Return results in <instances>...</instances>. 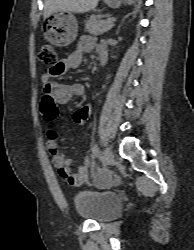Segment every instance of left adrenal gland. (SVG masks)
Returning a JSON list of instances; mask_svg holds the SVG:
<instances>
[{
	"label": "left adrenal gland",
	"instance_id": "left-adrenal-gland-1",
	"mask_svg": "<svg viewBox=\"0 0 194 250\" xmlns=\"http://www.w3.org/2000/svg\"><path fill=\"white\" fill-rule=\"evenodd\" d=\"M120 28H121V25H119V26H118V29H117V31H116V34H118V33H119Z\"/></svg>",
	"mask_w": 194,
	"mask_h": 250
}]
</instances>
